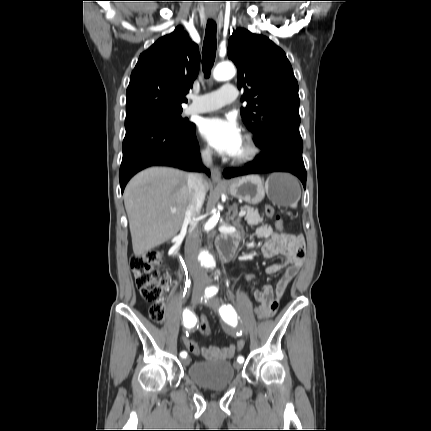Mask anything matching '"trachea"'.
Listing matches in <instances>:
<instances>
[{"instance_id":"obj_1","label":"trachea","mask_w":431,"mask_h":431,"mask_svg":"<svg viewBox=\"0 0 431 431\" xmlns=\"http://www.w3.org/2000/svg\"><path fill=\"white\" fill-rule=\"evenodd\" d=\"M216 23L208 20L202 48V67L205 78H209L216 55Z\"/></svg>"}]
</instances>
